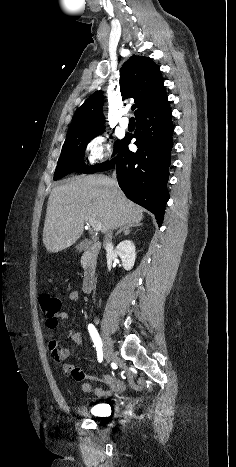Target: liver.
Returning a JSON list of instances; mask_svg holds the SVG:
<instances>
[{"instance_id": "liver-1", "label": "liver", "mask_w": 236, "mask_h": 467, "mask_svg": "<svg viewBox=\"0 0 236 467\" xmlns=\"http://www.w3.org/2000/svg\"><path fill=\"white\" fill-rule=\"evenodd\" d=\"M143 209L126 198L104 175L76 177L52 189L47 205L43 244L57 253L82 235L84 224L101 223V232L139 223Z\"/></svg>"}]
</instances>
